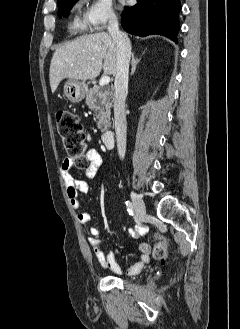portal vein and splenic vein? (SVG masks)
<instances>
[{
    "label": "portal vein and splenic vein",
    "instance_id": "portal-vein-and-splenic-vein-1",
    "mask_svg": "<svg viewBox=\"0 0 240 329\" xmlns=\"http://www.w3.org/2000/svg\"><path fill=\"white\" fill-rule=\"evenodd\" d=\"M110 82V77L109 76H103L99 82V86H105L108 85Z\"/></svg>",
    "mask_w": 240,
    "mask_h": 329
}]
</instances>
